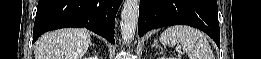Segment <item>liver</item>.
I'll list each match as a JSON object with an SVG mask.
<instances>
[{
  "label": "liver",
  "mask_w": 261,
  "mask_h": 59,
  "mask_svg": "<svg viewBox=\"0 0 261 59\" xmlns=\"http://www.w3.org/2000/svg\"><path fill=\"white\" fill-rule=\"evenodd\" d=\"M91 42L88 30L66 28L42 35L35 44V59H81Z\"/></svg>",
  "instance_id": "1"
}]
</instances>
